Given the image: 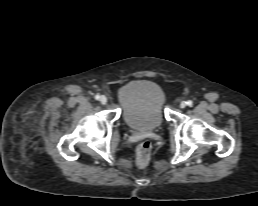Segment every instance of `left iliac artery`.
<instances>
[{"label": "left iliac artery", "instance_id": "1", "mask_svg": "<svg viewBox=\"0 0 258 206\" xmlns=\"http://www.w3.org/2000/svg\"><path fill=\"white\" fill-rule=\"evenodd\" d=\"M186 103L188 106H192V104H193V102L191 100H188Z\"/></svg>", "mask_w": 258, "mask_h": 206}]
</instances>
